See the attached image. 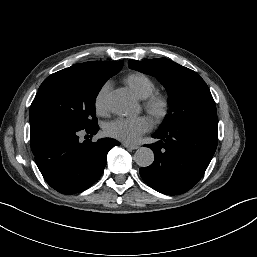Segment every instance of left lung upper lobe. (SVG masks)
Instances as JSON below:
<instances>
[{
    "label": "left lung upper lobe",
    "mask_w": 257,
    "mask_h": 257,
    "mask_svg": "<svg viewBox=\"0 0 257 257\" xmlns=\"http://www.w3.org/2000/svg\"><path fill=\"white\" fill-rule=\"evenodd\" d=\"M131 69L156 77L169 95L170 110L159 130L196 116L216 113V106L204 80L193 70L166 58L129 60Z\"/></svg>",
    "instance_id": "5c2ea615"
}]
</instances>
